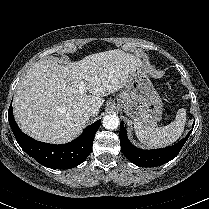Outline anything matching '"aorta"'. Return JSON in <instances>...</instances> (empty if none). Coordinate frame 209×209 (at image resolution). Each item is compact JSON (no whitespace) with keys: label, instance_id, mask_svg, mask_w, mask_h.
Returning a JSON list of instances; mask_svg holds the SVG:
<instances>
[{"label":"aorta","instance_id":"762f6f07","mask_svg":"<svg viewBox=\"0 0 209 209\" xmlns=\"http://www.w3.org/2000/svg\"><path fill=\"white\" fill-rule=\"evenodd\" d=\"M103 127L108 130H114L119 126V118L116 114H109L103 118Z\"/></svg>","mask_w":209,"mask_h":209}]
</instances>
